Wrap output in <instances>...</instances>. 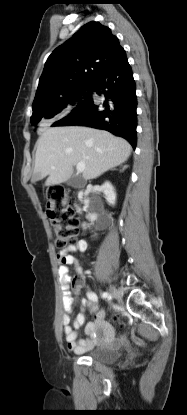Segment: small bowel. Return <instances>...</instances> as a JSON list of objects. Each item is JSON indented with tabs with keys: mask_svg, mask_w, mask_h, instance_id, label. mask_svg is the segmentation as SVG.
I'll return each mask as SVG.
<instances>
[{
	"mask_svg": "<svg viewBox=\"0 0 187 415\" xmlns=\"http://www.w3.org/2000/svg\"><path fill=\"white\" fill-rule=\"evenodd\" d=\"M87 249L85 240H78L66 248L61 249L57 256L64 265L59 268V278L63 289V307L65 314L62 317L63 331L68 348L75 353H84L96 347L115 346L119 340L115 338L114 328L105 320L104 310L98 305L97 295L91 289L86 292V297L81 300L82 311L79 312L71 323L69 314L73 310L75 303L74 288L70 286V273L67 265L75 264V259L71 255L72 252H83ZM75 270L82 275V269L75 264ZM79 286H85V282L81 279ZM88 309L93 315L94 320L86 325V339H78L77 330L85 323L84 310Z\"/></svg>",
	"mask_w": 187,
	"mask_h": 415,
	"instance_id": "small-bowel-1",
	"label": "small bowel"
}]
</instances>
